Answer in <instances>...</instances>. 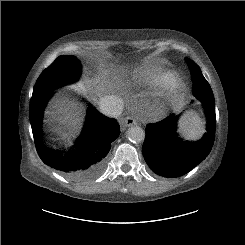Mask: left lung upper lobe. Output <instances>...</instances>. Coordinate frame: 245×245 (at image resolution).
Masks as SVG:
<instances>
[{
    "instance_id": "left-lung-upper-lobe-1",
    "label": "left lung upper lobe",
    "mask_w": 245,
    "mask_h": 245,
    "mask_svg": "<svg viewBox=\"0 0 245 245\" xmlns=\"http://www.w3.org/2000/svg\"><path fill=\"white\" fill-rule=\"evenodd\" d=\"M185 61L189 66L192 82L194 83L192 89L193 95L199 100L209 98L213 92L209 83L202 75L199 66L188 58H185Z\"/></svg>"
}]
</instances>
